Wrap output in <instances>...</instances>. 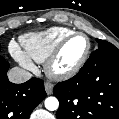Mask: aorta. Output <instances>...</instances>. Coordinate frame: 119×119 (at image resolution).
Segmentation results:
<instances>
[{"instance_id": "762f6f07", "label": "aorta", "mask_w": 119, "mask_h": 119, "mask_svg": "<svg viewBox=\"0 0 119 119\" xmlns=\"http://www.w3.org/2000/svg\"><path fill=\"white\" fill-rule=\"evenodd\" d=\"M45 107L49 111L57 110L59 107V101L56 97H48L45 99Z\"/></svg>"}]
</instances>
